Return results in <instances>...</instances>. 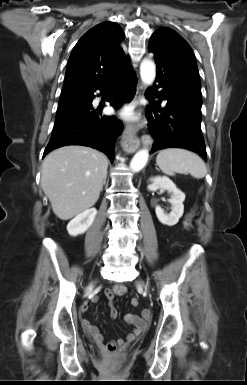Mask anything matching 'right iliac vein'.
<instances>
[{"instance_id": "1", "label": "right iliac vein", "mask_w": 247, "mask_h": 385, "mask_svg": "<svg viewBox=\"0 0 247 385\" xmlns=\"http://www.w3.org/2000/svg\"><path fill=\"white\" fill-rule=\"evenodd\" d=\"M91 288H92V285L88 286L86 292H88Z\"/></svg>"}]
</instances>
